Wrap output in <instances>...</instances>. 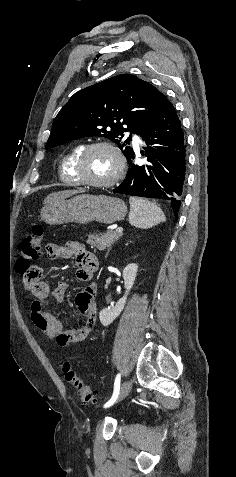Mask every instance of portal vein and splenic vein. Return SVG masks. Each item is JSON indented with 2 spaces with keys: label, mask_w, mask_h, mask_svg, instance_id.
Segmentation results:
<instances>
[{
  "label": "portal vein and splenic vein",
  "mask_w": 236,
  "mask_h": 477,
  "mask_svg": "<svg viewBox=\"0 0 236 477\" xmlns=\"http://www.w3.org/2000/svg\"><path fill=\"white\" fill-rule=\"evenodd\" d=\"M116 232L119 233V234H121V233L123 232V228H122V227L117 228V229H116Z\"/></svg>",
  "instance_id": "portal-vein-and-splenic-vein-1"
}]
</instances>
